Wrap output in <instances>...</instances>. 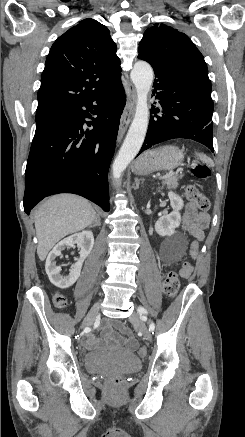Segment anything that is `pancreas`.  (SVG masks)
Returning a JSON list of instances; mask_svg holds the SVG:
<instances>
[{
  "label": "pancreas",
  "instance_id": "pancreas-1",
  "mask_svg": "<svg viewBox=\"0 0 245 437\" xmlns=\"http://www.w3.org/2000/svg\"><path fill=\"white\" fill-rule=\"evenodd\" d=\"M180 178H182V175L173 174L167 178H164L162 183L167 185L168 189L176 188Z\"/></svg>",
  "mask_w": 245,
  "mask_h": 437
}]
</instances>
